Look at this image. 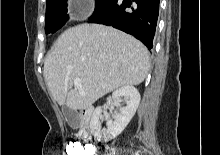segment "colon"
Segmentation results:
<instances>
[{
    "label": "colon",
    "mask_w": 220,
    "mask_h": 155,
    "mask_svg": "<svg viewBox=\"0 0 220 155\" xmlns=\"http://www.w3.org/2000/svg\"><path fill=\"white\" fill-rule=\"evenodd\" d=\"M93 143H80L78 140H71L67 144L70 155H93Z\"/></svg>",
    "instance_id": "5ec220e1"
}]
</instances>
